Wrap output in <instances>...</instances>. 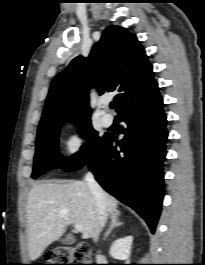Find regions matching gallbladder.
<instances>
[{"mask_svg": "<svg viewBox=\"0 0 205 265\" xmlns=\"http://www.w3.org/2000/svg\"><path fill=\"white\" fill-rule=\"evenodd\" d=\"M61 242H62V244H65V245H71L75 242V240H74V237L72 235L68 234V235H66L65 238H63L61 240Z\"/></svg>", "mask_w": 205, "mask_h": 265, "instance_id": "obj_1", "label": "gallbladder"}]
</instances>
